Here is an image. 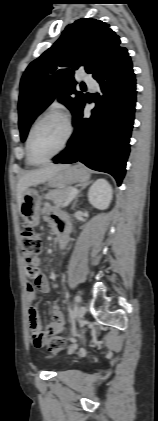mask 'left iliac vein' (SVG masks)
Instances as JSON below:
<instances>
[{"label":"left iliac vein","mask_w":158,"mask_h":421,"mask_svg":"<svg viewBox=\"0 0 158 421\" xmlns=\"http://www.w3.org/2000/svg\"><path fill=\"white\" fill-rule=\"evenodd\" d=\"M85 313H86V307L84 305H81L78 308V312H77L78 318H83Z\"/></svg>","instance_id":"obj_1"}]
</instances>
